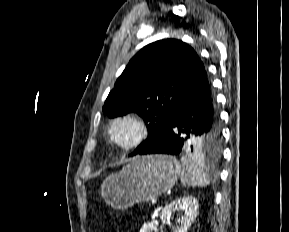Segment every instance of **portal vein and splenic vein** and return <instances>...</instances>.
Instances as JSON below:
<instances>
[{
    "instance_id": "1",
    "label": "portal vein and splenic vein",
    "mask_w": 289,
    "mask_h": 232,
    "mask_svg": "<svg viewBox=\"0 0 289 232\" xmlns=\"http://www.w3.org/2000/svg\"><path fill=\"white\" fill-rule=\"evenodd\" d=\"M151 203H152V205H156L157 199H153V200L151 201Z\"/></svg>"
}]
</instances>
